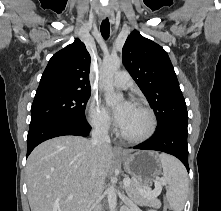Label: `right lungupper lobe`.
I'll return each instance as SVG.
<instances>
[{
    "mask_svg": "<svg viewBox=\"0 0 221 211\" xmlns=\"http://www.w3.org/2000/svg\"><path fill=\"white\" fill-rule=\"evenodd\" d=\"M90 55L83 42L58 51L49 60L36 92L46 90L90 91Z\"/></svg>",
    "mask_w": 221,
    "mask_h": 211,
    "instance_id": "right-lung-upper-lobe-1",
    "label": "right lung upper lobe"
}]
</instances>
